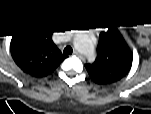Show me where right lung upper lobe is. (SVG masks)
<instances>
[{"label":"right lung upper lobe","mask_w":151,"mask_h":114,"mask_svg":"<svg viewBox=\"0 0 151 114\" xmlns=\"http://www.w3.org/2000/svg\"><path fill=\"white\" fill-rule=\"evenodd\" d=\"M11 55L15 63L33 77L47 76L66 58L45 29L16 34L11 41Z\"/></svg>","instance_id":"obj_1"}]
</instances>
